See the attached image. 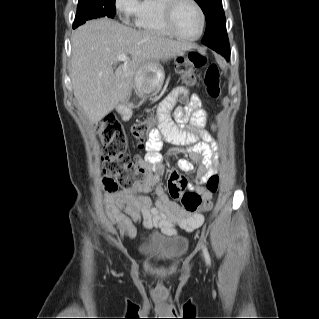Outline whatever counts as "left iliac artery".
I'll list each match as a JSON object with an SVG mask.
<instances>
[{
  "instance_id": "44dca946",
  "label": "left iliac artery",
  "mask_w": 319,
  "mask_h": 319,
  "mask_svg": "<svg viewBox=\"0 0 319 319\" xmlns=\"http://www.w3.org/2000/svg\"><path fill=\"white\" fill-rule=\"evenodd\" d=\"M203 253H204L207 264H210L211 259H210L209 253L204 245H203Z\"/></svg>"
}]
</instances>
